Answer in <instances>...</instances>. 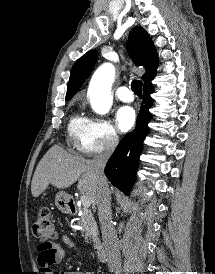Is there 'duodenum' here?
Segmentation results:
<instances>
[{"instance_id":"410a0bca","label":"duodenum","mask_w":215,"mask_h":274,"mask_svg":"<svg viewBox=\"0 0 215 274\" xmlns=\"http://www.w3.org/2000/svg\"><path fill=\"white\" fill-rule=\"evenodd\" d=\"M69 209L72 213L77 212L76 204L73 200H70L68 203ZM94 250L95 253L100 261H105L107 258V250L105 248V245L101 241H96L94 243Z\"/></svg>"}]
</instances>
